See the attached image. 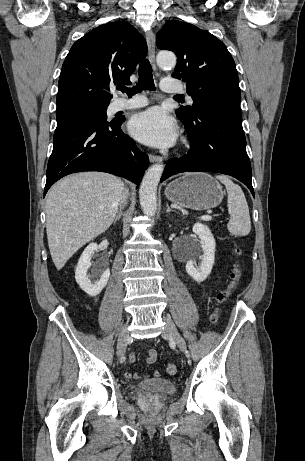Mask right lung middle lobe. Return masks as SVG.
Returning a JSON list of instances; mask_svg holds the SVG:
<instances>
[{"instance_id": "dd1d6c3e", "label": "right lung middle lobe", "mask_w": 305, "mask_h": 461, "mask_svg": "<svg viewBox=\"0 0 305 461\" xmlns=\"http://www.w3.org/2000/svg\"><path fill=\"white\" fill-rule=\"evenodd\" d=\"M108 103L78 104L57 108L56 115L62 113L82 114L93 119L107 121L106 110Z\"/></svg>"}]
</instances>
